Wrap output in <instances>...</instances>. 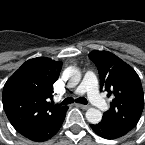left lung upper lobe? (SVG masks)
Masks as SVG:
<instances>
[{"instance_id":"obj_1","label":"left lung upper lobe","mask_w":145,"mask_h":145,"mask_svg":"<svg viewBox=\"0 0 145 145\" xmlns=\"http://www.w3.org/2000/svg\"><path fill=\"white\" fill-rule=\"evenodd\" d=\"M89 58L100 75V89L112 97L100 124L126 134L138 123L144 107L141 81L135 70L108 51H92Z\"/></svg>"}]
</instances>
